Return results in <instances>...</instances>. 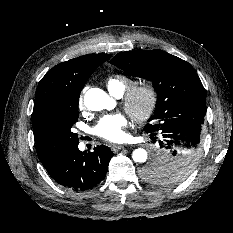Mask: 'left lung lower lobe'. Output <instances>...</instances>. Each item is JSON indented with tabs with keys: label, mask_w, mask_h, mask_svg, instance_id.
<instances>
[{
	"label": "left lung lower lobe",
	"mask_w": 233,
	"mask_h": 233,
	"mask_svg": "<svg viewBox=\"0 0 233 233\" xmlns=\"http://www.w3.org/2000/svg\"><path fill=\"white\" fill-rule=\"evenodd\" d=\"M202 124L203 122L197 119H177L164 123L157 131L145 130L150 134L151 140L157 143L158 152L168 153L166 160L161 159L162 154L158 153L151 162L165 164L181 156L199 159L202 151Z\"/></svg>",
	"instance_id": "1"
}]
</instances>
